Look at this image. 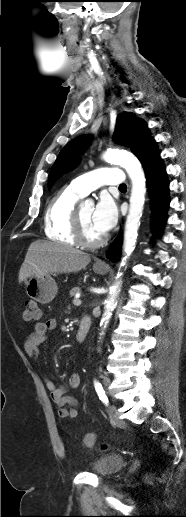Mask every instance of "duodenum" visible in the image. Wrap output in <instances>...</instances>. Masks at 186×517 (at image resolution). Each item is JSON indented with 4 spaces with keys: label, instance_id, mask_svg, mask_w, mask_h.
<instances>
[{
    "label": "duodenum",
    "instance_id": "duodenum-1",
    "mask_svg": "<svg viewBox=\"0 0 186 517\" xmlns=\"http://www.w3.org/2000/svg\"><path fill=\"white\" fill-rule=\"evenodd\" d=\"M90 328H91V319L89 316H84L81 319L79 327L76 332V340L79 343H83L86 340L87 335L90 331Z\"/></svg>",
    "mask_w": 186,
    "mask_h": 517
}]
</instances>
